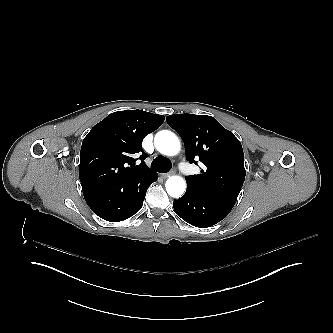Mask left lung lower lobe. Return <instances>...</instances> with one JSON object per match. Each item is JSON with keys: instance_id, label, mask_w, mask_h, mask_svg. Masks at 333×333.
<instances>
[{"instance_id": "0a47b994", "label": "left lung lower lobe", "mask_w": 333, "mask_h": 333, "mask_svg": "<svg viewBox=\"0 0 333 333\" xmlns=\"http://www.w3.org/2000/svg\"><path fill=\"white\" fill-rule=\"evenodd\" d=\"M234 204L227 200L199 196L186 190L181 198L174 200L173 207L177 215L187 223L206 228L224 219Z\"/></svg>"}]
</instances>
